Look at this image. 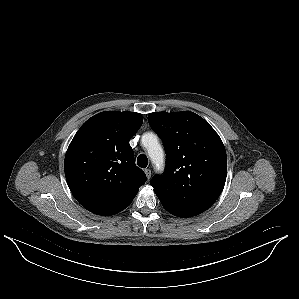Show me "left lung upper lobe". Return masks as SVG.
Here are the masks:
<instances>
[{
	"instance_id": "1",
	"label": "left lung upper lobe",
	"mask_w": 299,
	"mask_h": 299,
	"mask_svg": "<svg viewBox=\"0 0 299 299\" xmlns=\"http://www.w3.org/2000/svg\"><path fill=\"white\" fill-rule=\"evenodd\" d=\"M166 152V169L151 179L157 197L176 206L209 208L221 194L227 157L215 130L193 112L148 115Z\"/></svg>"
}]
</instances>
